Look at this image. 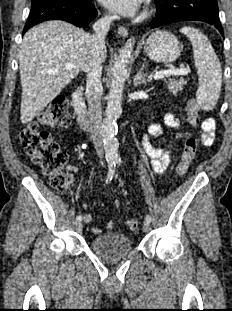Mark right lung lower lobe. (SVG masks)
Segmentation results:
<instances>
[{
    "instance_id": "1",
    "label": "right lung lower lobe",
    "mask_w": 232,
    "mask_h": 311,
    "mask_svg": "<svg viewBox=\"0 0 232 311\" xmlns=\"http://www.w3.org/2000/svg\"><path fill=\"white\" fill-rule=\"evenodd\" d=\"M96 16L97 11L91 2L81 4L73 0H37L32 2L23 34L34 25L47 20H64L82 27Z\"/></svg>"
}]
</instances>
